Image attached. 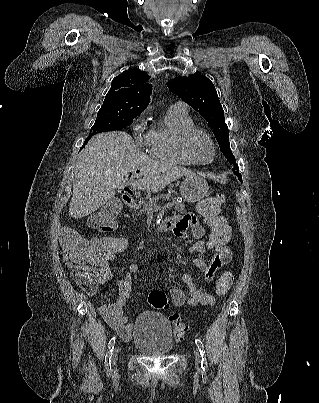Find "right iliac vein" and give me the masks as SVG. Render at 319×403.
<instances>
[{"instance_id":"obj_1","label":"right iliac vein","mask_w":319,"mask_h":403,"mask_svg":"<svg viewBox=\"0 0 319 403\" xmlns=\"http://www.w3.org/2000/svg\"><path fill=\"white\" fill-rule=\"evenodd\" d=\"M119 350H120L119 347H116V348L114 349V352H113L112 361H113V365H114V366H116V364H117V356H118Z\"/></svg>"}]
</instances>
